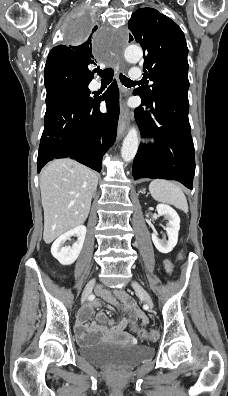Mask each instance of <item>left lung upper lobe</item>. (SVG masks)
Returning a JSON list of instances; mask_svg holds the SVG:
<instances>
[{"label":"left lung upper lobe","instance_id":"5c2ea615","mask_svg":"<svg viewBox=\"0 0 228 396\" xmlns=\"http://www.w3.org/2000/svg\"><path fill=\"white\" fill-rule=\"evenodd\" d=\"M129 29L130 41L144 50V72L154 82L139 92L141 99L152 102L170 89L188 91V48L180 27L153 8H140L129 20Z\"/></svg>","mask_w":228,"mask_h":396}]
</instances>
